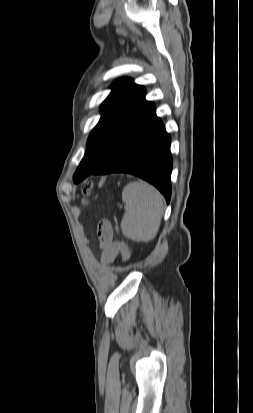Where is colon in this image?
I'll return each instance as SVG.
<instances>
[{
	"instance_id": "5ec220e1",
	"label": "colon",
	"mask_w": 253,
	"mask_h": 413,
	"mask_svg": "<svg viewBox=\"0 0 253 413\" xmlns=\"http://www.w3.org/2000/svg\"><path fill=\"white\" fill-rule=\"evenodd\" d=\"M89 193H90V186H88L84 189L83 194H84L85 197H87L89 195Z\"/></svg>"
}]
</instances>
